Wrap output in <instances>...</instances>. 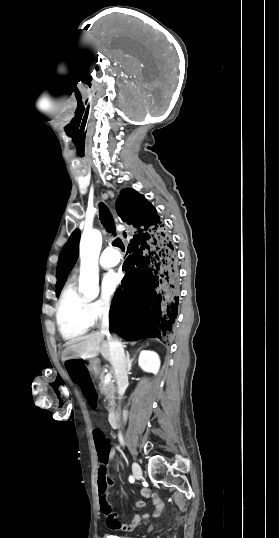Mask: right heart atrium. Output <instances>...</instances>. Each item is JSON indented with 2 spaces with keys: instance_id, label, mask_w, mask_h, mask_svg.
Segmentation results:
<instances>
[{
  "instance_id": "obj_1",
  "label": "right heart atrium",
  "mask_w": 279,
  "mask_h": 538,
  "mask_svg": "<svg viewBox=\"0 0 279 538\" xmlns=\"http://www.w3.org/2000/svg\"><path fill=\"white\" fill-rule=\"evenodd\" d=\"M92 315L95 321L109 319L114 312V305L109 297H101L92 301Z\"/></svg>"
}]
</instances>
